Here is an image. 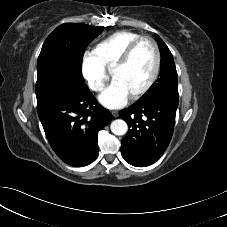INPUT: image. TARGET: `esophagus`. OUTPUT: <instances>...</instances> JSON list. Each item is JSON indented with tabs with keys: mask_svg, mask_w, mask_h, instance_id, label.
I'll use <instances>...</instances> for the list:
<instances>
[{
	"mask_svg": "<svg viewBox=\"0 0 227 227\" xmlns=\"http://www.w3.org/2000/svg\"><path fill=\"white\" fill-rule=\"evenodd\" d=\"M112 115H113V117H118V111H112Z\"/></svg>",
	"mask_w": 227,
	"mask_h": 227,
	"instance_id": "1",
	"label": "esophagus"
}]
</instances>
